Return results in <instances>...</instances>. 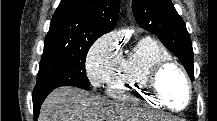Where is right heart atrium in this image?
<instances>
[{"instance_id": "d8ad5b80", "label": "right heart atrium", "mask_w": 217, "mask_h": 121, "mask_svg": "<svg viewBox=\"0 0 217 121\" xmlns=\"http://www.w3.org/2000/svg\"><path fill=\"white\" fill-rule=\"evenodd\" d=\"M119 60V43L113 34H105L91 47L86 58V72L92 86L105 84Z\"/></svg>"}]
</instances>
